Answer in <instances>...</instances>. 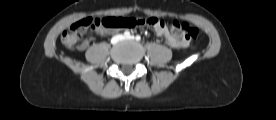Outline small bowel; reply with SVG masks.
Segmentation results:
<instances>
[{"label": "small bowel", "mask_w": 276, "mask_h": 120, "mask_svg": "<svg viewBox=\"0 0 276 120\" xmlns=\"http://www.w3.org/2000/svg\"><path fill=\"white\" fill-rule=\"evenodd\" d=\"M157 35L164 37L167 44L173 48H185L188 46V42L185 39L178 38L172 35L167 29L164 22H160L158 25L154 26ZM89 39H85L80 45L79 49L84 50L89 45Z\"/></svg>", "instance_id": "obj_1"}]
</instances>
